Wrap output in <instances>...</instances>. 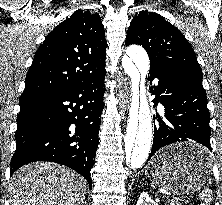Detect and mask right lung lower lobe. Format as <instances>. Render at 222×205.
<instances>
[{"label": "right lung lower lobe", "instance_id": "obj_1", "mask_svg": "<svg viewBox=\"0 0 222 205\" xmlns=\"http://www.w3.org/2000/svg\"><path fill=\"white\" fill-rule=\"evenodd\" d=\"M105 74L69 88L20 96L11 174L24 164L50 161L72 168L92 187Z\"/></svg>", "mask_w": 222, "mask_h": 205}]
</instances>
